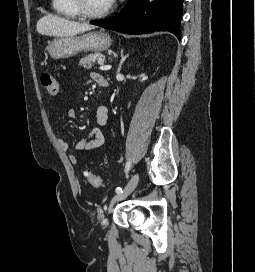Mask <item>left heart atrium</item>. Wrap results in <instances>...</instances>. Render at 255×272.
<instances>
[{
  "instance_id": "1",
  "label": "left heart atrium",
  "mask_w": 255,
  "mask_h": 272,
  "mask_svg": "<svg viewBox=\"0 0 255 272\" xmlns=\"http://www.w3.org/2000/svg\"><path fill=\"white\" fill-rule=\"evenodd\" d=\"M110 1V3H113L115 0H109Z\"/></svg>"
}]
</instances>
